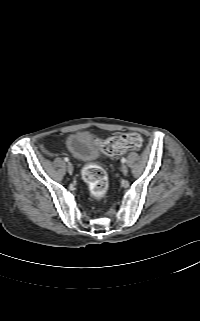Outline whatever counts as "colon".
Segmentation results:
<instances>
[{
  "mask_svg": "<svg viewBox=\"0 0 200 321\" xmlns=\"http://www.w3.org/2000/svg\"><path fill=\"white\" fill-rule=\"evenodd\" d=\"M142 146L143 139L138 133H117L101 143L102 151L111 157L119 156L127 151L139 150ZM82 177L95 199L101 200L106 196L108 178L100 166L86 165L82 170Z\"/></svg>",
  "mask_w": 200,
  "mask_h": 321,
  "instance_id": "colon-1",
  "label": "colon"
}]
</instances>
